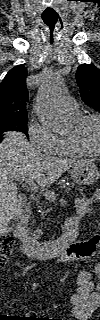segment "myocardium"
Returning a JSON list of instances; mask_svg holds the SVG:
<instances>
[{
	"mask_svg": "<svg viewBox=\"0 0 100 320\" xmlns=\"http://www.w3.org/2000/svg\"><path fill=\"white\" fill-rule=\"evenodd\" d=\"M89 121L97 122L99 126V132H100V118L96 115H84V116L78 117L76 120L73 121L72 133L68 134L67 138L75 147H77L79 150H81L85 154L98 155L100 154V146L97 150L91 149L81 140L79 135L83 126Z\"/></svg>",
	"mask_w": 100,
	"mask_h": 320,
	"instance_id": "1",
	"label": "myocardium"
}]
</instances>
